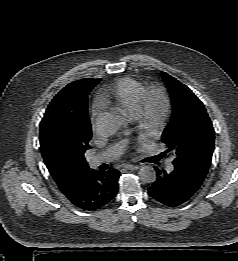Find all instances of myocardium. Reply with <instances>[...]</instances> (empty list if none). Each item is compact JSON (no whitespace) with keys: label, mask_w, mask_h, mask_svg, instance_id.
Returning <instances> with one entry per match:
<instances>
[{"label":"myocardium","mask_w":238,"mask_h":261,"mask_svg":"<svg viewBox=\"0 0 238 261\" xmlns=\"http://www.w3.org/2000/svg\"><path fill=\"white\" fill-rule=\"evenodd\" d=\"M154 97L161 101V108L157 114H153L152 111ZM171 111L172 102L167 88L161 83H152L144 88L134 118L143 132L148 136H154L166 127Z\"/></svg>","instance_id":"obj_1"}]
</instances>
